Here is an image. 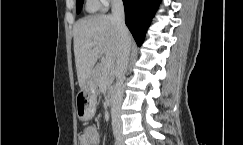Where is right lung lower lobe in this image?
Segmentation results:
<instances>
[{"label": "right lung lower lobe", "instance_id": "right-lung-lower-lobe-1", "mask_svg": "<svg viewBox=\"0 0 243 145\" xmlns=\"http://www.w3.org/2000/svg\"><path fill=\"white\" fill-rule=\"evenodd\" d=\"M160 0H123L125 22L138 46L144 41Z\"/></svg>", "mask_w": 243, "mask_h": 145}]
</instances>
